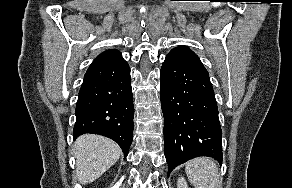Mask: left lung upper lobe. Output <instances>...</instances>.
I'll return each mask as SVG.
<instances>
[{"label": "left lung upper lobe", "instance_id": "left-lung-upper-lobe-1", "mask_svg": "<svg viewBox=\"0 0 292 188\" xmlns=\"http://www.w3.org/2000/svg\"><path fill=\"white\" fill-rule=\"evenodd\" d=\"M168 55L207 72L199 57L195 53H193L188 47L179 46L172 49Z\"/></svg>", "mask_w": 292, "mask_h": 188}]
</instances>
